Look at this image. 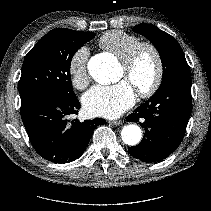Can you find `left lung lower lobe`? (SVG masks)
Returning <instances> with one entry per match:
<instances>
[{"label": "left lung lower lobe", "instance_id": "left-lung-lower-lobe-1", "mask_svg": "<svg viewBox=\"0 0 211 211\" xmlns=\"http://www.w3.org/2000/svg\"><path fill=\"white\" fill-rule=\"evenodd\" d=\"M191 83V76L168 81L127 116V121L139 122L145 130L141 143L128 148L133 157L158 162L178 148L192 109Z\"/></svg>", "mask_w": 211, "mask_h": 211}]
</instances>
